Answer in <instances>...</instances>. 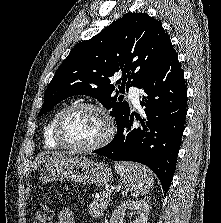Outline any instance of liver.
<instances>
[{
  "label": "liver",
  "mask_w": 221,
  "mask_h": 223,
  "mask_svg": "<svg viewBox=\"0 0 221 223\" xmlns=\"http://www.w3.org/2000/svg\"><path fill=\"white\" fill-rule=\"evenodd\" d=\"M68 153L66 152H52L51 156L50 155H44L42 158H40L41 162H51V161H55L58 159H62L67 157Z\"/></svg>",
  "instance_id": "obj_1"
}]
</instances>
